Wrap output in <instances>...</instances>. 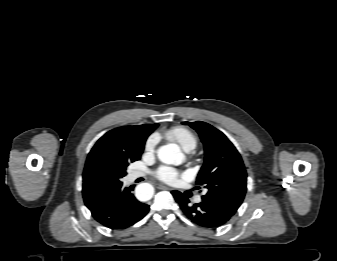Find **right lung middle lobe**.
<instances>
[{"instance_id":"1","label":"right lung middle lobe","mask_w":337,"mask_h":261,"mask_svg":"<svg viewBox=\"0 0 337 261\" xmlns=\"http://www.w3.org/2000/svg\"><path fill=\"white\" fill-rule=\"evenodd\" d=\"M129 163L115 164L109 161L101 160L92 169L90 176L93 183L106 189L115 188L121 182L120 179L126 173V167Z\"/></svg>"}]
</instances>
